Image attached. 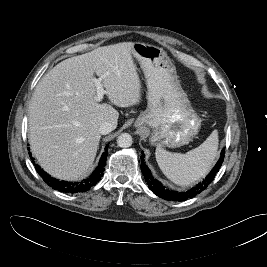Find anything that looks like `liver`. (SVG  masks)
Returning a JSON list of instances; mask_svg holds the SVG:
<instances>
[{
    "instance_id": "obj_1",
    "label": "liver",
    "mask_w": 267,
    "mask_h": 267,
    "mask_svg": "<svg viewBox=\"0 0 267 267\" xmlns=\"http://www.w3.org/2000/svg\"><path fill=\"white\" fill-rule=\"evenodd\" d=\"M133 43L99 47L58 63L37 84L29 105V142L40 166L51 176L74 181L93 164L99 127H117L119 113L96 101L94 74L118 107L136 105L141 84L132 59Z\"/></svg>"
}]
</instances>
